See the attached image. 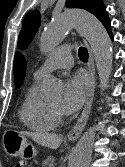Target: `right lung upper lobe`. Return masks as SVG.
Segmentation results:
<instances>
[{
  "label": "right lung upper lobe",
  "mask_w": 125,
  "mask_h": 167,
  "mask_svg": "<svg viewBox=\"0 0 125 167\" xmlns=\"http://www.w3.org/2000/svg\"><path fill=\"white\" fill-rule=\"evenodd\" d=\"M26 74V61L20 54H16L14 58V80L15 86H21Z\"/></svg>",
  "instance_id": "cb5924a9"
}]
</instances>
